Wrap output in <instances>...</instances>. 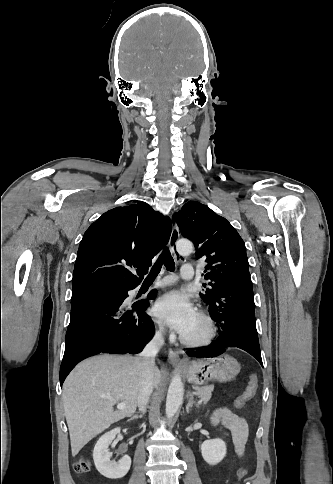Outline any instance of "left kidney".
<instances>
[{
    "instance_id": "1",
    "label": "left kidney",
    "mask_w": 333,
    "mask_h": 484,
    "mask_svg": "<svg viewBox=\"0 0 333 484\" xmlns=\"http://www.w3.org/2000/svg\"><path fill=\"white\" fill-rule=\"evenodd\" d=\"M226 444L221 439L206 440L201 445L204 461L210 465L220 463L226 455Z\"/></svg>"
}]
</instances>
